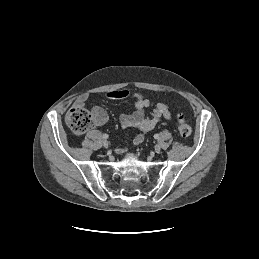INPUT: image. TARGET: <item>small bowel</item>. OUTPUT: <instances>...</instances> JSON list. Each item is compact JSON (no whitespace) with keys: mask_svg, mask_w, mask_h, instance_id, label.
<instances>
[{"mask_svg":"<svg viewBox=\"0 0 259 259\" xmlns=\"http://www.w3.org/2000/svg\"><path fill=\"white\" fill-rule=\"evenodd\" d=\"M108 99H126L129 98L133 101L135 108L134 112L130 114H121L119 117L120 125L122 128H135L138 133L133 138V145L137 146L144 141L145 135L150 132L161 119H170V111L164 103H154L144 94L139 92H130L128 90H115L106 94ZM88 99V95H82L77 100L75 105L84 106ZM148 108H152L150 114L146 113ZM93 116L97 125H103L108 115L104 108L95 106L93 108ZM125 147L120 146L117 148V153L122 154Z\"/></svg>","mask_w":259,"mask_h":259,"instance_id":"c3829d8e","label":"small bowel"}]
</instances>
